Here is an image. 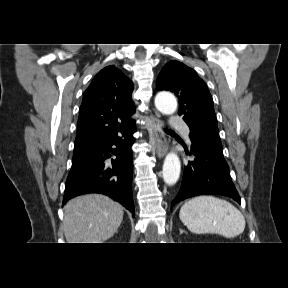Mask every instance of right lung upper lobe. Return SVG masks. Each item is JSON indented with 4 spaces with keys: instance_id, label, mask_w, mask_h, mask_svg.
Masks as SVG:
<instances>
[{
    "instance_id": "right-lung-upper-lobe-1",
    "label": "right lung upper lobe",
    "mask_w": 288,
    "mask_h": 288,
    "mask_svg": "<svg viewBox=\"0 0 288 288\" xmlns=\"http://www.w3.org/2000/svg\"><path fill=\"white\" fill-rule=\"evenodd\" d=\"M132 82L116 67L107 66L87 88L78 118L73 157L105 143L135 122Z\"/></svg>"
}]
</instances>
